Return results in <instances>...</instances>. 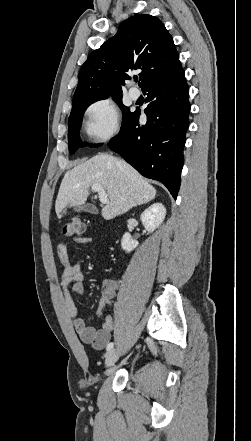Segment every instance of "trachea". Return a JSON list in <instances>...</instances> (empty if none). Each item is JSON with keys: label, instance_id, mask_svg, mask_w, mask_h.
<instances>
[{"label": "trachea", "instance_id": "obj_1", "mask_svg": "<svg viewBox=\"0 0 251 441\" xmlns=\"http://www.w3.org/2000/svg\"><path fill=\"white\" fill-rule=\"evenodd\" d=\"M134 81L137 82V81H138V78H134Z\"/></svg>", "mask_w": 251, "mask_h": 441}]
</instances>
